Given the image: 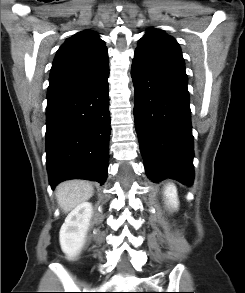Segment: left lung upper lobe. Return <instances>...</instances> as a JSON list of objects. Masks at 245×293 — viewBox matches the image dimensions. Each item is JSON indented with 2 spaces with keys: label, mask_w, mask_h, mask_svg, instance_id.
Instances as JSON below:
<instances>
[{
  "label": "left lung upper lobe",
  "mask_w": 245,
  "mask_h": 293,
  "mask_svg": "<svg viewBox=\"0 0 245 293\" xmlns=\"http://www.w3.org/2000/svg\"><path fill=\"white\" fill-rule=\"evenodd\" d=\"M136 51L185 70L179 44L163 30L151 29L140 40Z\"/></svg>",
  "instance_id": "left-lung-upper-lobe-1"
}]
</instances>
